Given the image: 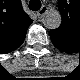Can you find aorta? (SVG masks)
I'll list each match as a JSON object with an SVG mask.
<instances>
[{
    "label": "aorta",
    "instance_id": "obj_1",
    "mask_svg": "<svg viewBox=\"0 0 80 80\" xmlns=\"http://www.w3.org/2000/svg\"><path fill=\"white\" fill-rule=\"evenodd\" d=\"M46 21L49 24V26L57 28L61 23V15L58 11L49 12L46 16Z\"/></svg>",
    "mask_w": 80,
    "mask_h": 80
}]
</instances>
